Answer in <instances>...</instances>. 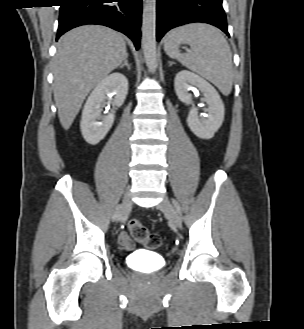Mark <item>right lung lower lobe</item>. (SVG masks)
Returning a JSON list of instances; mask_svg holds the SVG:
<instances>
[{
  "mask_svg": "<svg viewBox=\"0 0 304 329\" xmlns=\"http://www.w3.org/2000/svg\"><path fill=\"white\" fill-rule=\"evenodd\" d=\"M116 1V2H113ZM142 0H62L57 39L85 24L108 26L127 35L140 46Z\"/></svg>",
  "mask_w": 304,
  "mask_h": 329,
  "instance_id": "obj_1",
  "label": "right lung lower lobe"
}]
</instances>
